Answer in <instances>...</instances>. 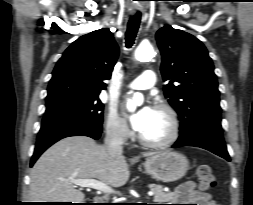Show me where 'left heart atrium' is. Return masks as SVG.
Returning a JSON list of instances; mask_svg holds the SVG:
<instances>
[{"label":"left heart atrium","mask_w":253,"mask_h":205,"mask_svg":"<svg viewBox=\"0 0 253 205\" xmlns=\"http://www.w3.org/2000/svg\"><path fill=\"white\" fill-rule=\"evenodd\" d=\"M153 111L154 109L151 106L146 105L131 114L130 122L133 129L140 133L149 122Z\"/></svg>","instance_id":"39dd6f15"}]
</instances>
